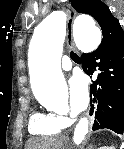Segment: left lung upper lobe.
Here are the masks:
<instances>
[{
  "instance_id": "obj_1",
  "label": "left lung upper lobe",
  "mask_w": 124,
  "mask_h": 149,
  "mask_svg": "<svg viewBox=\"0 0 124 149\" xmlns=\"http://www.w3.org/2000/svg\"><path fill=\"white\" fill-rule=\"evenodd\" d=\"M70 2L78 12L91 15L99 23L103 39L98 48L120 43L124 40V31L119 21L101 0H70Z\"/></svg>"
}]
</instances>
